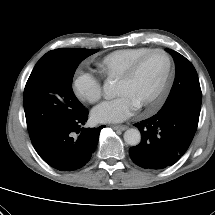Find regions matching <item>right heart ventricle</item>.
<instances>
[{"label": "right heart ventricle", "mask_w": 215, "mask_h": 215, "mask_svg": "<svg viewBox=\"0 0 215 215\" xmlns=\"http://www.w3.org/2000/svg\"><path fill=\"white\" fill-rule=\"evenodd\" d=\"M148 50L146 47L115 50L103 56L97 65L104 76L117 79L134 59Z\"/></svg>", "instance_id": "right-heart-ventricle-1"}]
</instances>
